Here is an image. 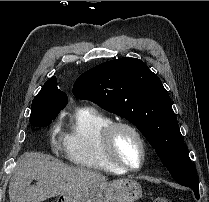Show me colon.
I'll return each mask as SVG.
<instances>
[{
  "label": "colon",
  "instance_id": "5ec220e1",
  "mask_svg": "<svg viewBox=\"0 0 209 202\" xmlns=\"http://www.w3.org/2000/svg\"><path fill=\"white\" fill-rule=\"evenodd\" d=\"M153 202H176V201L166 197H157L153 200Z\"/></svg>",
  "mask_w": 209,
  "mask_h": 202
}]
</instances>
